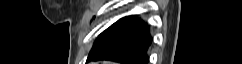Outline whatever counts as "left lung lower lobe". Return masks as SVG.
Instances as JSON below:
<instances>
[{
    "label": "left lung lower lobe",
    "instance_id": "obj_1",
    "mask_svg": "<svg viewBox=\"0 0 242 64\" xmlns=\"http://www.w3.org/2000/svg\"><path fill=\"white\" fill-rule=\"evenodd\" d=\"M151 42L149 26L134 16H126L99 35L87 61L110 60L123 64H147V49Z\"/></svg>",
    "mask_w": 242,
    "mask_h": 64
}]
</instances>
